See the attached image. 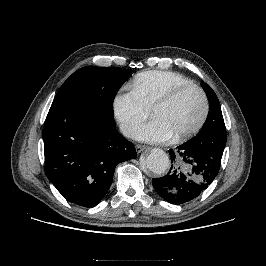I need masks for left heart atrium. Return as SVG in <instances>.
Returning <instances> with one entry per match:
<instances>
[{
    "label": "left heart atrium",
    "mask_w": 266,
    "mask_h": 266,
    "mask_svg": "<svg viewBox=\"0 0 266 266\" xmlns=\"http://www.w3.org/2000/svg\"><path fill=\"white\" fill-rule=\"evenodd\" d=\"M134 136L141 141L157 143L169 140L173 133L162 120L154 118L147 124L138 127Z\"/></svg>",
    "instance_id": "obj_1"
}]
</instances>
